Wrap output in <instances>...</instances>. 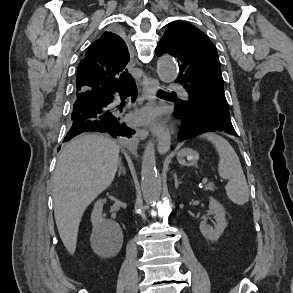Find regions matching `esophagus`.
I'll list each match as a JSON object with an SVG mask.
<instances>
[{"label": "esophagus", "instance_id": "34e87169", "mask_svg": "<svg viewBox=\"0 0 293 293\" xmlns=\"http://www.w3.org/2000/svg\"><path fill=\"white\" fill-rule=\"evenodd\" d=\"M159 88V82L157 79L150 78L148 75L143 74L142 78V93L146 100H152ZM154 131L158 138V151L161 154L166 153L170 147V136L163 124L154 128ZM148 135V131L145 128L137 129V136L141 140L145 139Z\"/></svg>", "mask_w": 293, "mask_h": 293}]
</instances>
